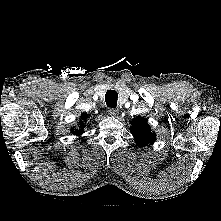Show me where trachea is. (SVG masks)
<instances>
[{
    "mask_svg": "<svg viewBox=\"0 0 221 221\" xmlns=\"http://www.w3.org/2000/svg\"><path fill=\"white\" fill-rule=\"evenodd\" d=\"M118 93L115 90L107 91L105 95V101L108 107L116 108L117 106Z\"/></svg>",
    "mask_w": 221,
    "mask_h": 221,
    "instance_id": "trachea-1",
    "label": "trachea"
}]
</instances>
